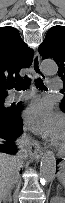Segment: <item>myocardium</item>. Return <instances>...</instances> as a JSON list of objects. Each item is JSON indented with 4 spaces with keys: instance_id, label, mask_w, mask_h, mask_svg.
Wrapping results in <instances>:
<instances>
[{
    "instance_id": "obj_1",
    "label": "myocardium",
    "mask_w": 65,
    "mask_h": 203,
    "mask_svg": "<svg viewBox=\"0 0 65 203\" xmlns=\"http://www.w3.org/2000/svg\"><path fill=\"white\" fill-rule=\"evenodd\" d=\"M55 147L57 151L61 154L65 153V144L64 145H59L58 143L55 144Z\"/></svg>"
}]
</instances>
